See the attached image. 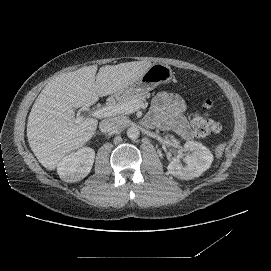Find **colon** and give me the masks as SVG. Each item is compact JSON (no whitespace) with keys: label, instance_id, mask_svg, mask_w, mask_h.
I'll return each mask as SVG.
<instances>
[{"label":"colon","instance_id":"colon-1","mask_svg":"<svg viewBox=\"0 0 271 271\" xmlns=\"http://www.w3.org/2000/svg\"><path fill=\"white\" fill-rule=\"evenodd\" d=\"M212 106V95H207L202 102V111L196 112L192 116V125L195 134L199 137H205L211 134L218 133L221 130V126L218 122L213 120L208 111ZM226 150L224 143L218 144L215 148V154L221 156Z\"/></svg>","mask_w":271,"mask_h":271}]
</instances>
